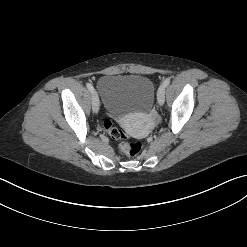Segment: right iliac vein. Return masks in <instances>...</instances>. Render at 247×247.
<instances>
[{
	"label": "right iliac vein",
	"instance_id": "1",
	"mask_svg": "<svg viewBox=\"0 0 247 247\" xmlns=\"http://www.w3.org/2000/svg\"><path fill=\"white\" fill-rule=\"evenodd\" d=\"M99 105H100L99 97H98L96 91H93V93H92V109H93L94 113H98Z\"/></svg>",
	"mask_w": 247,
	"mask_h": 247
}]
</instances>
